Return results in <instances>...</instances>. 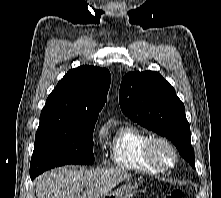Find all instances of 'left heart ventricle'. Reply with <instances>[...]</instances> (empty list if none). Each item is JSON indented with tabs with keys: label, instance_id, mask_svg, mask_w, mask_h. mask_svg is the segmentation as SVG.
<instances>
[{
	"label": "left heart ventricle",
	"instance_id": "1",
	"mask_svg": "<svg viewBox=\"0 0 221 198\" xmlns=\"http://www.w3.org/2000/svg\"><path fill=\"white\" fill-rule=\"evenodd\" d=\"M157 153H158V156H159L160 160L163 163L169 164V163L172 162V154L168 150V148H166L165 146L158 145L157 146Z\"/></svg>",
	"mask_w": 221,
	"mask_h": 198
}]
</instances>
